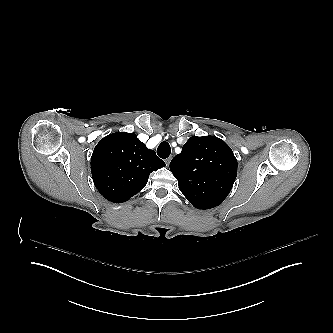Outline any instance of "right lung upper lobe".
<instances>
[{
	"mask_svg": "<svg viewBox=\"0 0 333 333\" xmlns=\"http://www.w3.org/2000/svg\"><path fill=\"white\" fill-rule=\"evenodd\" d=\"M165 166L155 151L146 148L134 133L117 132L94 148L91 173L100 194L122 203L141 191L151 172Z\"/></svg>",
	"mask_w": 333,
	"mask_h": 333,
	"instance_id": "right-lung-upper-lobe-1",
	"label": "right lung upper lobe"
}]
</instances>
